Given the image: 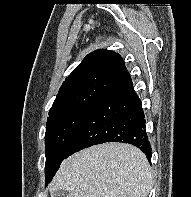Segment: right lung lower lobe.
<instances>
[{"mask_svg": "<svg viewBox=\"0 0 191 197\" xmlns=\"http://www.w3.org/2000/svg\"><path fill=\"white\" fill-rule=\"evenodd\" d=\"M105 142L132 144L151 160L145 116L131 80L112 89L94 105L66 158L84 148Z\"/></svg>", "mask_w": 191, "mask_h": 197, "instance_id": "98d812e1", "label": "right lung lower lobe"}]
</instances>
